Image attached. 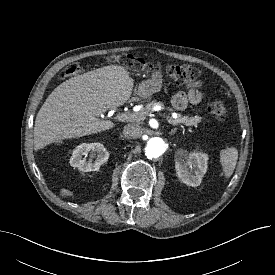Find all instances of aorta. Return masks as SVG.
Segmentation results:
<instances>
[{
	"label": "aorta",
	"instance_id": "762f6f07",
	"mask_svg": "<svg viewBox=\"0 0 275 275\" xmlns=\"http://www.w3.org/2000/svg\"><path fill=\"white\" fill-rule=\"evenodd\" d=\"M166 148L167 145L162 138L152 137L146 143L145 154L149 159L158 158L164 154Z\"/></svg>",
	"mask_w": 275,
	"mask_h": 275
}]
</instances>
